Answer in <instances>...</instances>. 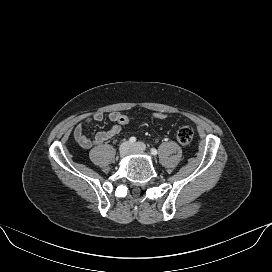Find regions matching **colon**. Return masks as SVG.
<instances>
[{"label": "colon", "instance_id": "obj_1", "mask_svg": "<svg viewBox=\"0 0 272 272\" xmlns=\"http://www.w3.org/2000/svg\"><path fill=\"white\" fill-rule=\"evenodd\" d=\"M155 120H164L167 118V114L164 112H155L152 115ZM117 122L120 125H126L130 122V118L127 115L119 113L117 116ZM193 138V129L189 125H181L176 133V139L181 145H188Z\"/></svg>", "mask_w": 272, "mask_h": 272}]
</instances>
